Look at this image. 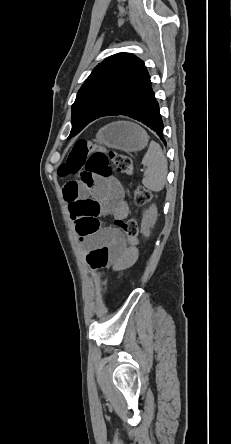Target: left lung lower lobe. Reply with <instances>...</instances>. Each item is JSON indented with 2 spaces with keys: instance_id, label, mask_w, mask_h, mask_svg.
Instances as JSON below:
<instances>
[{
  "instance_id": "1",
  "label": "left lung lower lobe",
  "mask_w": 231,
  "mask_h": 444,
  "mask_svg": "<svg viewBox=\"0 0 231 444\" xmlns=\"http://www.w3.org/2000/svg\"><path fill=\"white\" fill-rule=\"evenodd\" d=\"M115 115H125L141 121L155 131L166 145V141L162 138L163 123L155 93L151 88L150 76Z\"/></svg>"
}]
</instances>
